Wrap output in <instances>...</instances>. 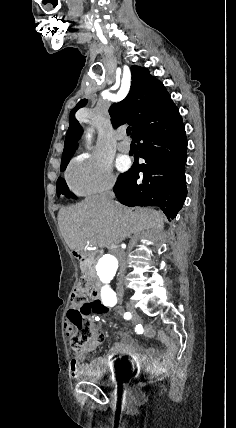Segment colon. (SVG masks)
Returning <instances> with one entry per match:
<instances>
[{"label": "colon", "instance_id": "5ec220e1", "mask_svg": "<svg viewBox=\"0 0 236 428\" xmlns=\"http://www.w3.org/2000/svg\"><path fill=\"white\" fill-rule=\"evenodd\" d=\"M71 308L65 321V330L73 350L91 352L98 346V334L90 316L106 311L101 302L93 297L87 280H80L70 296Z\"/></svg>", "mask_w": 236, "mask_h": 428}]
</instances>
